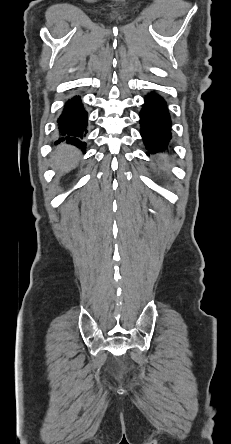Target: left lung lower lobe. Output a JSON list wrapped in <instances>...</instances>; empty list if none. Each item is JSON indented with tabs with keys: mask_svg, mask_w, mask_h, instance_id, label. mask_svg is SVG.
<instances>
[{
	"mask_svg": "<svg viewBox=\"0 0 231 444\" xmlns=\"http://www.w3.org/2000/svg\"><path fill=\"white\" fill-rule=\"evenodd\" d=\"M140 130L144 143L151 152L167 149L171 140V120L166 102L159 95L151 92L145 98L140 112Z\"/></svg>",
	"mask_w": 231,
	"mask_h": 444,
	"instance_id": "left-lung-lower-lobe-1",
	"label": "left lung lower lobe"
}]
</instances>
